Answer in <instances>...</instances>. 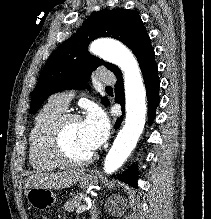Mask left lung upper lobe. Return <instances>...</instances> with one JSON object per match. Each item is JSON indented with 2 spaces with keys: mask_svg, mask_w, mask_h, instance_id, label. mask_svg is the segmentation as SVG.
Returning a JSON list of instances; mask_svg holds the SVG:
<instances>
[{
  "mask_svg": "<svg viewBox=\"0 0 211 219\" xmlns=\"http://www.w3.org/2000/svg\"><path fill=\"white\" fill-rule=\"evenodd\" d=\"M98 37L115 38L136 54L148 35L135 11L119 8L94 13L47 61L32 93L31 114L36 113L43 102L56 92L88 88L91 73L101 65L113 73L120 70L114 64L89 54V43ZM102 102L108 105L107 98L104 97Z\"/></svg>",
  "mask_w": 211,
  "mask_h": 219,
  "instance_id": "5c2ea615",
  "label": "left lung upper lobe"
}]
</instances>
